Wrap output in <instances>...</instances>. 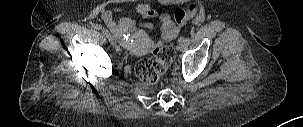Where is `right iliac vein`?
<instances>
[{
	"mask_svg": "<svg viewBox=\"0 0 303 127\" xmlns=\"http://www.w3.org/2000/svg\"><path fill=\"white\" fill-rule=\"evenodd\" d=\"M106 38L108 39V41L110 42V44L112 45V46H116V44H115V40H114V38L112 37V35H110V34H108L107 36H106Z\"/></svg>",
	"mask_w": 303,
	"mask_h": 127,
	"instance_id": "right-iliac-vein-1",
	"label": "right iliac vein"
}]
</instances>
